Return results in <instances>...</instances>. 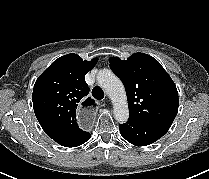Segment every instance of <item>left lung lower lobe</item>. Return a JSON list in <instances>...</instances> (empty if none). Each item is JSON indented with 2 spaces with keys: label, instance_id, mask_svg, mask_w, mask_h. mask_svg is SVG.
<instances>
[{
  "label": "left lung lower lobe",
  "instance_id": "1",
  "mask_svg": "<svg viewBox=\"0 0 209 179\" xmlns=\"http://www.w3.org/2000/svg\"><path fill=\"white\" fill-rule=\"evenodd\" d=\"M121 135L135 146H146L161 138L168 130L151 126L136 119L129 118L127 123L120 124Z\"/></svg>",
  "mask_w": 209,
  "mask_h": 179
}]
</instances>
